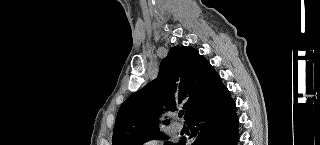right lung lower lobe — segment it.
I'll return each instance as SVG.
<instances>
[{
    "instance_id": "98d812e1",
    "label": "right lung lower lobe",
    "mask_w": 320,
    "mask_h": 145,
    "mask_svg": "<svg viewBox=\"0 0 320 145\" xmlns=\"http://www.w3.org/2000/svg\"><path fill=\"white\" fill-rule=\"evenodd\" d=\"M235 110V102L219 76L211 87L207 104L187 120L189 138L196 137L192 145H236L239 135ZM185 144L183 137L176 145Z\"/></svg>"
}]
</instances>
